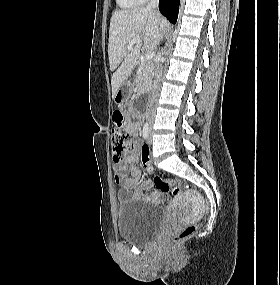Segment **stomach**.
<instances>
[{
	"mask_svg": "<svg viewBox=\"0 0 280 285\" xmlns=\"http://www.w3.org/2000/svg\"><path fill=\"white\" fill-rule=\"evenodd\" d=\"M132 83L128 80L124 81L115 94L114 101L117 103L126 100L132 91Z\"/></svg>",
	"mask_w": 280,
	"mask_h": 285,
	"instance_id": "obj_1",
	"label": "stomach"
}]
</instances>
